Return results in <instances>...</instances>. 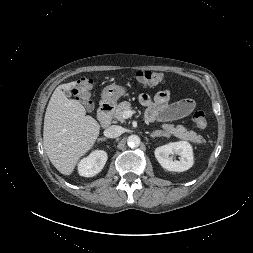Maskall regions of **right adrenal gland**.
<instances>
[{
    "label": "right adrenal gland",
    "instance_id": "1",
    "mask_svg": "<svg viewBox=\"0 0 253 253\" xmlns=\"http://www.w3.org/2000/svg\"><path fill=\"white\" fill-rule=\"evenodd\" d=\"M100 141H101V142H105V141H107V138H99V139H98V142H100Z\"/></svg>",
    "mask_w": 253,
    "mask_h": 253
}]
</instances>
